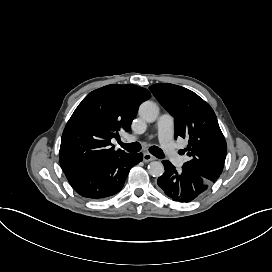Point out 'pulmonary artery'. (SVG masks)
Returning a JSON list of instances; mask_svg holds the SVG:
<instances>
[{
  "mask_svg": "<svg viewBox=\"0 0 272 272\" xmlns=\"http://www.w3.org/2000/svg\"><path fill=\"white\" fill-rule=\"evenodd\" d=\"M173 123L174 120L172 117H168L167 115H162L158 119L157 128H158V136L159 141L162 145H164V150L168 152L169 157L172 158L173 162L180 166L181 168L184 166V160L181 159L178 155L179 149L175 146L172 141L173 136ZM169 126V127H168ZM168 127V128H167ZM146 137L143 135L142 137H136L134 140L137 142L138 140H144Z\"/></svg>",
  "mask_w": 272,
  "mask_h": 272,
  "instance_id": "e3ab8cb5",
  "label": "pulmonary artery"
}]
</instances>
